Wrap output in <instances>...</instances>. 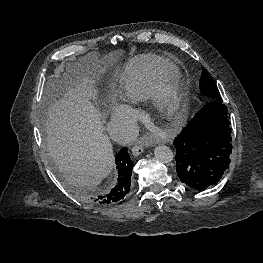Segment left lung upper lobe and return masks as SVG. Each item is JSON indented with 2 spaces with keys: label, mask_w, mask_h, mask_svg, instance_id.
Instances as JSON below:
<instances>
[{
  "label": "left lung upper lobe",
  "mask_w": 263,
  "mask_h": 263,
  "mask_svg": "<svg viewBox=\"0 0 263 263\" xmlns=\"http://www.w3.org/2000/svg\"><path fill=\"white\" fill-rule=\"evenodd\" d=\"M199 85H200V91L203 95L213 100L222 101V98L220 96L216 84L214 83L213 79L204 68L202 69V76L200 78Z\"/></svg>",
  "instance_id": "1"
}]
</instances>
